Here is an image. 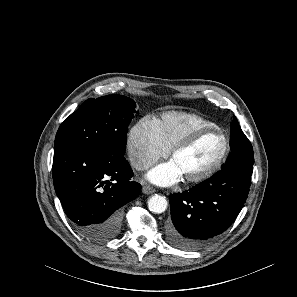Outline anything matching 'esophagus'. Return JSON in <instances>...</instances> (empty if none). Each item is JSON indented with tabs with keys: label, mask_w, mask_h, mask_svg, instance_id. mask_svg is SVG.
Here are the masks:
<instances>
[{
	"label": "esophagus",
	"mask_w": 297,
	"mask_h": 297,
	"mask_svg": "<svg viewBox=\"0 0 297 297\" xmlns=\"http://www.w3.org/2000/svg\"><path fill=\"white\" fill-rule=\"evenodd\" d=\"M142 192L144 194H152V193L155 192V190L153 188L149 187V186H143L142 187Z\"/></svg>",
	"instance_id": "1"
}]
</instances>
